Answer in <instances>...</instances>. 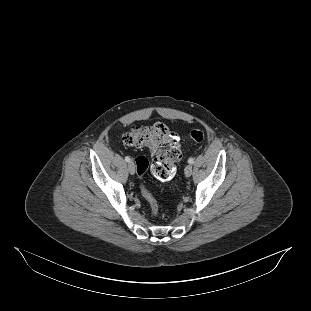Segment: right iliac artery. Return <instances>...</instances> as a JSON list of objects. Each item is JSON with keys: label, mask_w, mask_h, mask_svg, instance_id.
<instances>
[{"label": "right iliac artery", "mask_w": 311, "mask_h": 311, "mask_svg": "<svg viewBox=\"0 0 311 311\" xmlns=\"http://www.w3.org/2000/svg\"><path fill=\"white\" fill-rule=\"evenodd\" d=\"M130 160H131V159H130L129 156H126V157H125V161H126V162H130Z\"/></svg>", "instance_id": "obj_1"}]
</instances>
